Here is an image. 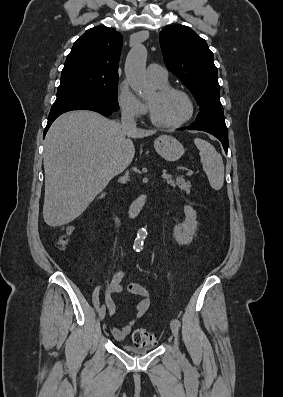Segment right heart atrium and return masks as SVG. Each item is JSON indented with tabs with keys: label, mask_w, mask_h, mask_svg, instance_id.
Masks as SVG:
<instances>
[{
	"label": "right heart atrium",
	"mask_w": 283,
	"mask_h": 397,
	"mask_svg": "<svg viewBox=\"0 0 283 397\" xmlns=\"http://www.w3.org/2000/svg\"><path fill=\"white\" fill-rule=\"evenodd\" d=\"M117 103L121 113L127 118H141L147 111L146 105L135 95L126 81L118 85Z\"/></svg>",
	"instance_id": "d8ad5b80"
}]
</instances>
